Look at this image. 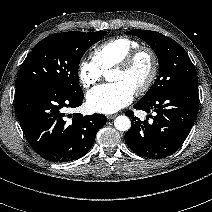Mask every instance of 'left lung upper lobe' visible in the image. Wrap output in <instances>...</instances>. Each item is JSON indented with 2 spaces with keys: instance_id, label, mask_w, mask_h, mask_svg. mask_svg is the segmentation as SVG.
Returning <instances> with one entry per match:
<instances>
[{
  "instance_id": "left-lung-upper-lobe-1",
  "label": "left lung upper lobe",
  "mask_w": 212,
  "mask_h": 212,
  "mask_svg": "<svg viewBox=\"0 0 212 212\" xmlns=\"http://www.w3.org/2000/svg\"><path fill=\"white\" fill-rule=\"evenodd\" d=\"M126 34L146 41L159 60V76L140 101H150L172 88L198 81L197 73L187 52L173 39L150 30H131Z\"/></svg>"
}]
</instances>
